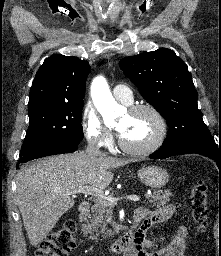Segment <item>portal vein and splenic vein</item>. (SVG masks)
<instances>
[{"label": "portal vein and splenic vein", "mask_w": 221, "mask_h": 256, "mask_svg": "<svg viewBox=\"0 0 221 256\" xmlns=\"http://www.w3.org/2000/svg\"><path fill=\"white\" fill-rule=\"evenodd\" d=\"M77 193L92 195V196L96 197L97 199H105L106 201H108L112 205H116L117 202L119 201V198L106 196L104 194V192L102 191V189L92 187V186H89V185H85L83 187H79L77 189H74V190H71V191L67 192V194H69V195L77 194ZM126 199L130 200V201H133V202L140 201V197L137 196V195L126 196Z\"/></svg>", "instance_id": "obj_1"}]
</instances>
